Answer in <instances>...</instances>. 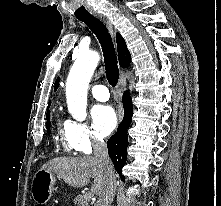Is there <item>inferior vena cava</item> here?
Segmentation results:
<instances>
[{
    "mask_svg": "<svg viewBox=\"0 0 221 206\" xmlns=\"http://www.w3.org/2000/svg\"><path fill=\"white\" fill-rule=\"evenodd\" d=\"M93 150H94L95 159L102 167L105 176L104 188L99 196L96 206H111L117 185H116V175L114 167L108 156L107 146L105 141L101 138L94 139Z\"/></svg>",
    "mask_w": 221,
    "mask_h": 206,
    "instance_id": "1",
    "label": "inferior vena cava"
}]
</instances>
